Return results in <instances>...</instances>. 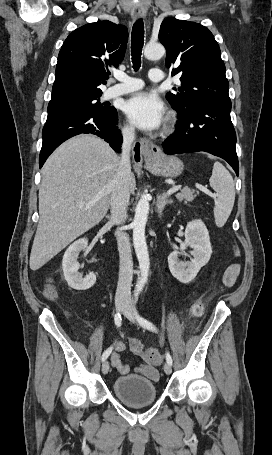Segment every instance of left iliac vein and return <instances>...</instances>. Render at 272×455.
I'll list each match as a JSON object with an SVG mask.
<instances>
[{"mask_svg":"<svg viewBox=\"0 0 272 455\" xmlns=\"http://www.w3.org/2000/svg\"><path fill=\"white\" fill-rule=\"evenodd\" d=\"M124 316L128 318L130 321L137 323V311L136 309L132 306L130 300L126 301L125 307L122 310ZM164 372L169 375L172 372L171 365L168 363L164 364Z\"/></svg>","mask_w":272,"mask_h":455,"instance_id":"left-iliac-vein-1","label":"left iliac vein"}]
</instances>
